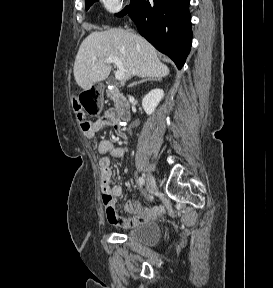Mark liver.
<instances>
[{
	"mask_svg": "<svg viewBox=\"0 0 273 288\" xmlns=\"http://www.w3.org/2000/svg\"><path fill=\"white\" fill-rule=\"evenodd\" d=\"M108 57L120 59L126 80L131 75L161 79L169 74L156 49L140 35L120 28L95 31L81 43L74 63V77L83 90L109 76L111 66L105 62Z\"/></svg>",
	"mask_w": 273,
	"mask_h": 288,
	"instance_id": "obj_1",
	"label": "liver"
}]
</instances>
